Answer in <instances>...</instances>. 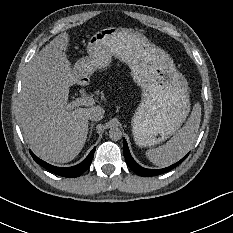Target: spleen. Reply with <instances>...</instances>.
Listing matches in <instances>:
<instances>
[{"instance_id": "obj_1", "label": "spleen", "mask_w": 233, "mask_h": 233, "mask_svg": "<svg viewBox=\"0 0 233 233\" xmlns=\"http://www.w3.org/2000/svg\"><path fill=\"white\" fill-rule=\"evenodd\" d=\"M201 121V105L196 103L186 124L165 145L146 152L148 159L159 167L180 160L193 146Z\"/></svg>"}]
</instances>
